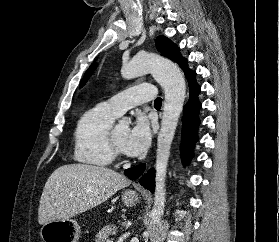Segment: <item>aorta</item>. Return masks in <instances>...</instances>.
<instances>
[{"label":"aorta","instance_id":"1","mask_svg":"<svg viewBox=\"0 0 279 242\" xmlns=\"http://www.w3.org/2000/svg\"><path fill=\"white\" fill-rule=\"evenodd\" d=\"M146 73H151L154 76L165 93L161 129L157 140L154 205L150 212L149 229H152L159 223L164 213L168 160L185 100L186 85L184 76L178 66L159 55L139 53L129 63L123 65L121 69V74L125 79H132ZM128 124L129 121L126 118L119 121V127L126 128Z\"/></svg>","mask_w":279,"mask_h":242}]
</instances>
